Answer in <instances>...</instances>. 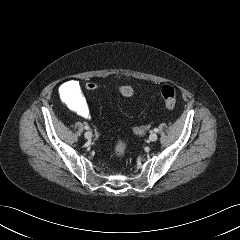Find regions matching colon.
I'll list each match as a JSON object with an SVG mask.
<instances>
[{
  "mask_svg": "<svg viewBox=\"0 0 240 240\" xmlns=\"http://www.w3.org/2000/svg\"><path fill=\"white\" fill-rule=\"evenodd\" d=\"M85 88L90 91V92H94L97 90L98 85L96 82L94 81H88L85 84ZM117 91L120 95L125 96V97H129L133 94V89L132 87L128 86V85H120L117 88ZM161 97L163 100V103L165 105V107L168 110H172L175 108L176 106V96H175V91L171 86H164L161 89ZM126 143L123 140H119L116 144L115 147V153L117 156L122 157L125 153H126Z\"/></svg>",
  "mask_w": 240,
  "mask_h": 240,
  "instance_id": "colon-1",
  "label": "colon"
}]
</instances>
